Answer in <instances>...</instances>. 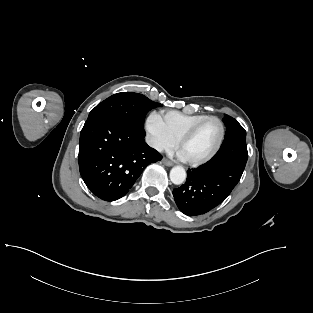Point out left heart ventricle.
<instances>
[{"label": "left heart ventricle", "instance_id": "1", "mask_svg": "<svg viewBox=\"0 0 313 313\" xmlns=\"http://www.w3.org/2000/svg\"><path fill=\"white\" fill-rule=\"evenodd\" d=\"M219 135L220 127L218 122L210 120L203 124L179 150L187 160L203 158L213 150Z\"/></svg>", "mask_w": 313, "mask_h": 313}]
</instances>
